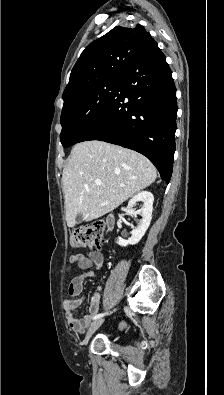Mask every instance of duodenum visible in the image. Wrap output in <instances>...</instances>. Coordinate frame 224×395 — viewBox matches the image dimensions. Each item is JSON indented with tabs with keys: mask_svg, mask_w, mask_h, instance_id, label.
I'll return each mask as SVG.
<instances>
[{
	"mask_svg": "<svg viewBox=\"0 0 224 395\" xmlns=\"http://www.w3.org/2000/svg\"><path fill=\"white\" fill-rule=\"evenodd\" d=\"M114 225V219L112 216L107 217L106 219V227L108 230H111L113 228Z\"/></svg>",
	"mask_w": 224,
	"mask_h": 395,
	"instance_id": "duodenum-1",
	"label": "duodenum"
}]
</instances>
